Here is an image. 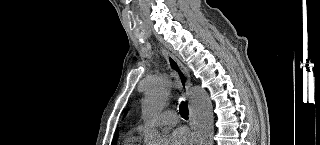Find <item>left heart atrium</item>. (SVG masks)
Masks as SVG:
<instances>
[{
    "label": "left heart atrium",
    "instance_id": "left-heart-atrium-1",
    "mask_svg": "<svg viewBox=\"0 0 320 145\" xmlns=\"http://www.w3.org/2000/svg\"><path fill=\"white\" fill-rule=\"evenodd\" d=\"M169 145H190L191 136L185 129L175 130L168 139Z\"/></svg>",
    "mask_w": 320,
    "mask_h": 145
}]
</instances>
